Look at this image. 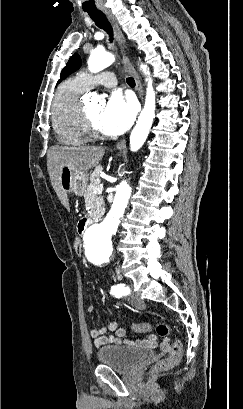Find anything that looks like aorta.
I'll return each instance as SVG.
<instances>
[{
	"label": "aorta",
	"mask_w": 243,
	"mask_h": 409,
	"mask_svg": "<svg viewBox=\"0 0 243 409\" xmlns=\"http://www.w3.org/2000/svg\"><path fill=\"white\" fill-rule=\"evenodd\" d=\"M112 54L95 50L88 59V68L92 73H97L108 67L114 62ZM140 69L147 75V89L145 105L140 113L137 123L130 135V149L133 152L138 151L146 141L150 128L155 117V92L152 87V79L146 65L141 64ZM91 101L97 103L100 96L96 93L91 94ZM131 195V187L123 181L117 186L115 198L106 218L100 223L90 225L84 233V247L87 255L99 254L108 257L112 253L111 237L117 231L120 218L123 216Z\"/></svg>",
	"instance_id": "762f6f07"
}]
</instances>
